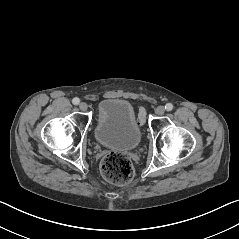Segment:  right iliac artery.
Returning a JSON list of instances; mask_svg holds the SVG:
<instances>
[{
    "label": "right iliac artery",
    "instance_id": "1",
    "mask_svg": "<svg viewBox=\"0 0 239 239\" xmlns=\"http://www.w3.org/2000/svg\"><path fill=\"white\" fill-rule=\"evenodd\" d=\"M79 102H80V100H79V98H77V97H75V98L72 100V103H73L74 105H78Z\"/></svg>",
    "mask_w": 239,
    "mask_h": 239
}]
</instances>
